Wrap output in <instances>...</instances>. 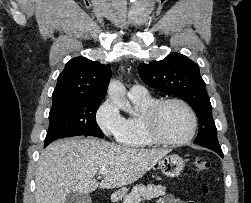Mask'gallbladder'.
Here are the masks:
<instances>
[{
  "label": "gallbladder",
  "mask_w": 251,
  "mask_h": 203,
  "mask_svg": "<svg viewBox=\"0 0 251 203\" xmlns=\"http://www.w3.org/2000/svg\"><path fill=\"white\" fill-rule=\"evenodd\" d=\"M92 199L88 194L80 192H71L66 196L65 203H92Z\"/></svg>",
  "instance_id": "obj_1"
}]
</instances>
